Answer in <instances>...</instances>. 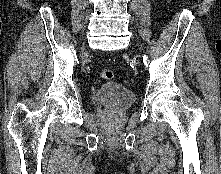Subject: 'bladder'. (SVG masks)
<instances>
[{
	"label": "bladder",
	"mask_w": 221,
	"mask_h": 174,
	"mask_svg": "<svg viewBox=\"0 0 221 174\" xmlns=\"http://www.w3.org/2000/svg\"><path fill=\"white\" fill-rule=\"evenodd\" d=\"M91 100L97 106H129L134 102L135 94L119 82L108 81L92 92Z\"/></svg>",
	"instance_id": "bladder-1"
}]
</instances>
